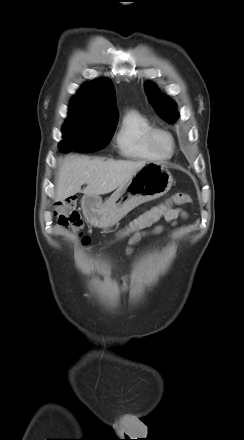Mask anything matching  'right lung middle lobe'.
Masks as SVG:
<instances>
[{
    "instance_id": "1",
    "label": "right lung middle lobe",
    "mask_w": 244,
    "mask_h": 440,
    "mask_svg": "<svg viewBox=\"0 0 244 440\" xmlns=\"http://www.w3.org/2000/svg\"><path fill=\"white\" fill-rule=\"evenodd\" d=\"M116 123L94 124L84 121H66L63 126V140L58 148L62 153L79 151L95 152L103 149L112 138Z\"/></svg>"
}]
</instances>
